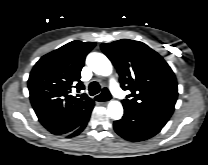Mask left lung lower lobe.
<instances>
[{
	"label": "left lung lower lobe",
	"instance_id": "1",
	"mask_svg": "<svg viewBox=\"0 0 208 165\" xmlns=\"http://www.w3.org/2000/svg\"><path fill=\"white\" fill-rule=\"evenodd\" d=\"M169 116L134 111L124 107V116L113 126L118 135L128 141H144L160 132L169 120Z\"/></svg>",
	"mask_w": 208,
	"mask_h": 165
}]
</instances>
